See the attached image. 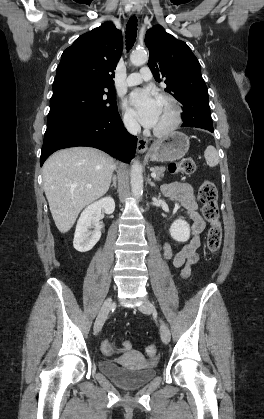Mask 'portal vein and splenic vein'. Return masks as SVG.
<instances>
[{
	"label": "portal vein and splenic vein",
	"instance_id": "18ae733b",
	"mask_svg": "<svg viewBox=\"0 0 264 419\" xmlns=\"http://www.w3.org/2000/svg\"><path fill=\"white\" fill-rule=\"evenodd\" d=\"M151 176H152L153 178H155V177H156V173H155L154 169L152 170Z\"/></svg>",
	"mask_w": 264,
	"mask_h": 419
}]
</instances>
